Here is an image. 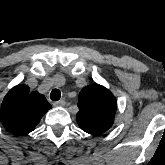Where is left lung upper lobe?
<instances>
[{"mask_svg":"<svg viewBox=\"0 0 165 165\" xmlns=\"http://www.w3.org/2000/svg\"><path fill=\"white\" fill-rule=\"evenodd\" d=\"M78 107L76 120L83 131L100 135L113 125L116 98L105 87L98 84L84 87L79 93Z\"/></svg>","mask_w":165,"mask_h":165,"instance_id":"5c2ea615","label":"left lung upper lobe"}]
</instances>
